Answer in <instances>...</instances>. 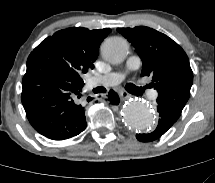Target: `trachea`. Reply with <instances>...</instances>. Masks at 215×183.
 Wrapping results in <instances>:
<instances>
[{
  "label": "trachea",
  "mask_w": 215,
  "mask_h": 183,
  "mask_svg": "<svg viewBox=\"0 0 215 183\" xmlns=\"http://www.w3.org/2000/svg\"><path fill=\"white\" fill-rule=\"evenodd\" d=\"M126 90H133V91H137L138 93H142L144 91L145 88H138V87H135L133 84H127L126 85Z\"/></svg>",
  "instance_id": "3493384b"
}]
</instances>
